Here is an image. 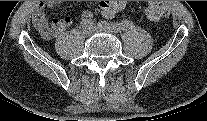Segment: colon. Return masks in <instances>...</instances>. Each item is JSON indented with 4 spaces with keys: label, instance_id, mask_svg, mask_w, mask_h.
I'll return each instance as SVG.
<instances>
[{
    "label": "colon",
    "instance_id": "5ec220e1",
    "mask_svg": "<svg viewBox=\"0 0 207 121\" xmlns=\"http://www.w3.org/2000/svg\"><path fill=\"white\" fill-rule=\"evenodd\" d=\"M146 16L152 21H160L169 15V8L162 1H150L145 7Z\"/></svg>",
    "mask_w": 207,
    "mask_h": 121
}]
</instances>
